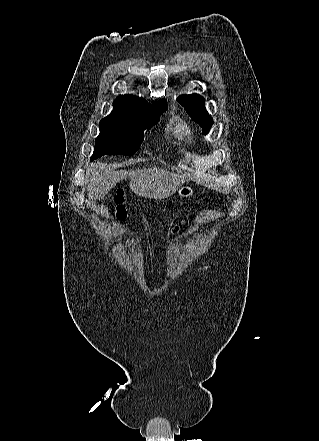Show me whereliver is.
<instances>
[{
    "mask_svg": "<svg viewBox=\"0 0 319 441\" xmlns=\"http://www.w3.org/2000/svg\"><path fill=\"white\" fill-rule=\"evenodd\" d=\"M86 191L89 200L102 199L116 184L129 177L130 188L138 196L165 199L175 193L189 178L187 174H176L158 167H143L132 170H106L99 163L86 173Z\"/></svg>",
    "mask_w": 319,
    "mask_h": 441,
    "instance_id": "6515ba94",
    "label": "liver"
}]
</instances>
